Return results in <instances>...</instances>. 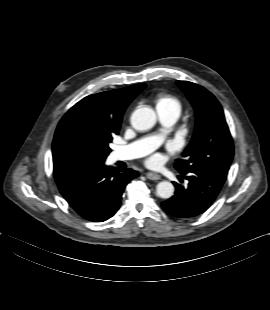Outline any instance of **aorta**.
<instances>
[{
  "mask_svg": "<svg viewBox=\"0 0 270 310\" xmlns=\"http://www.w3.org/2000/svg\"><path fill=\"white\" fill-rule=\"evenodd\" d=\"M157 117L153 109L141 107L136 109L131 116L132 126L139 131H147L156 123ZM156 193L160 198L168 199L174 194V186L171 182L162 181L157 184Z\"/></svg>",
  "mask_w": 270,
  "mask_h": 310,
  "instance_id": "1",
  "label": "aorta"
}]
</instances>
